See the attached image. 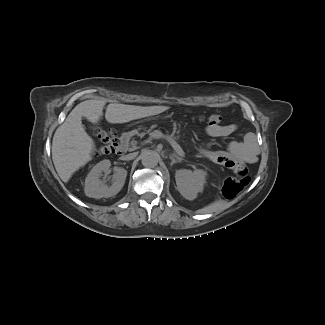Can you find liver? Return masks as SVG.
Here are the masks:
<instances>
[{
	"label": "liver",
	"mask_w": 325,
	"mask_h": 325,
	"mask_svg": "<svg viewBox=\"0 0 325 325\" xmlns=\"http://www.w3.org/2000/svg\"><path fill=\"white\" fill-rule=\"evenodd\" d=\"M105 99L86 100L79 103L60 125L52 141V159L63 182H68L75 171L92 159L95 149L93 139L82 124V117L98 123L103 116ZM168 106H135L111 103L107 106L105 118L109 123H126L132 120L160 114Z\"/></svg>",
	"instance_id": "liver-1"
}]
</instances>
